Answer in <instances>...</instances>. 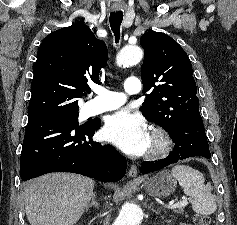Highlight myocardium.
Returning a JSON list of instances; mask_svg holds the SVG:
<instances>
[{"mask_svg":"<svg viewBox=\"0 0 237 225\" xmlns=\"http://www.w3.org/2000/svg\"><path fill=\"white\" fill-rule=\"evenodd\" d=\"M149 137V146L146 153L148 159L164 158L171 152L173 141L165 130L159 127H153Z\"/></svg>","mask_w":237,"mask_h":225,"instance_id":"f54148a6","label":"myocardium"}]
</instances>
